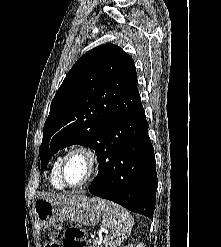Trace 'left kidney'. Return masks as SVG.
<instances>
[{
    "label": "left kidney",
    "instance_id": "left-kidney-1",
    "mask_svg": "<svg viewBox=\"0 0 221 247\" xmlns=\"http://www.w3.org/2000/svg\"><path fill=\"white\" fill-rule=\"evenodd\" d=\"M124 247H144V244L143 243H137L135 246L133 244H130L128 246H124Z\"/></svg>",
    "mask_w": 221,
    "mask_h": 247
}]
</instances>
